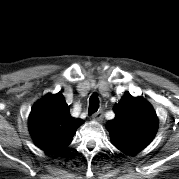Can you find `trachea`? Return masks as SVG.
<instances>
[{"mask_svg":"<svg viewBox=\"0 0 179 179\" xmlns=\"http://www.w3.org/2000/svg\"><path fill=\"white\" fill-rule=\"evenodd\" d=\"M99 108V99L96 93L92 94L89 99V108L88 113L92 115L93 113L97 112Z\"/></svg>","mask_w":179,"mask_h":179,"instance_id":"obj_1","label":"trachea"}]
</instances>
